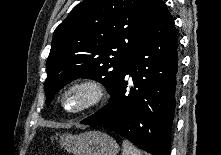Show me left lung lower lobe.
Here are the masks:
<instances>
[{
    "label": "left lung lower lobe",
    "mask_w": 221,
    "mask_h": 155,
    "mask_svg": "<svg viewBox=\"0 0 221 155\" xmlns=\"http://www.w3.org/2000/svg\"><path fill=\"white\" fill-rule=\"evenodd\" d=\"M178 81V40L164 5L136 45L109 103L80 123L112 130L152 155H169Z\"/></svg>",
    "instance_id": "left-lung-lower-lobe-1"
}]
</instances>
